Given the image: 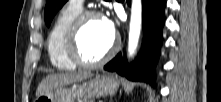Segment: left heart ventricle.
<instances>
[{
    "instance_id": "b2bd125f",
    "label": "left heart ventricle",
    "mask_w": 221,
    "mask_h": 102,
    "mask_svg": "<svg viewBox=\"0 0 221 102\" xmlns=\"http://www.w3.org/2000/svg\"><path fill=\"white\" fill-rule=\"evenodd\" d=\"M113 38L110 37L103 26L102 19H91L84 25L79 46L82 56L90 61L101 58L111 47Z\"/></svg>"
}]
</instances>
